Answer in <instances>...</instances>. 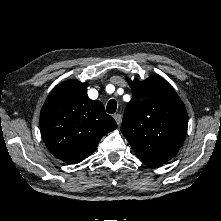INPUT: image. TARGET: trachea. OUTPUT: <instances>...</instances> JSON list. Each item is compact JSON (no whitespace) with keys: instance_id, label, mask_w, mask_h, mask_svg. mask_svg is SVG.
<instances>
[{"instance_id":"3493384b","label":"trachea","mask_w":221,"mask_h":221,"mask_svg":"<svg viewBox=\"0 0 221 221\" xmlns=\"http://www.w3.org/2000/svg\"><path fill=\"white\" fill-rule=\"evenodd\" d=\"M116 109H117V102L116 100L111 99L107 104L106 111L109 114H113L116 112Z\"/></svg>"}]
</instances>
